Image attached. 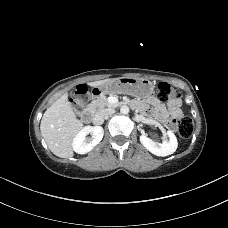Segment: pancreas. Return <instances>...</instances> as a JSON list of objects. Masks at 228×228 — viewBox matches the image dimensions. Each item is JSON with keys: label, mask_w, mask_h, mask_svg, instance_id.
Returning <instances> with one entry per match:
<instances>
[{"label": "pancreas", "mask_w": 228, "mask_h": 228, "mask_svg": "<svg viewBox=\"0 0 228 228\" xmlns=\"http://www.w3.org/2000/svg\"><path fill=\"white\" fill-rule=\"evenodd\" d=\"M89 106L95 109L96 112H102L108 108H115L118 104H111L105 96H101L92 101Z\"/></svg>", "instance_id": "cf45deb5"}]
</instances>
